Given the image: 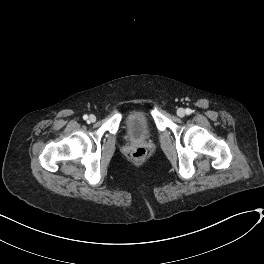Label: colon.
<instances>
[{
  "mask_svg": "<svg viewBox=\"0 0 264 264\" xmlns=\"http://www.w3.org/2000/svg\"><path fill=\"white\" fill-rule=\"evenodd\" d=\"M145 157H146V149L143 147H138L133 153V158L137 161H141Z\"/></svg>",
  "mask_w": 264,
  "mask_h": 264,
  "instance_id": "colon-1",
  "label": "colon"
}]
</instances>
